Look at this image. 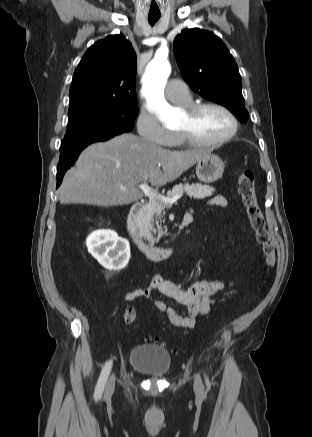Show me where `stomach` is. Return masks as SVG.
<instances>
[{"mask_svg":"<svg viewBox=\"0 0 312 437\" xmlns=\"http://www.w3.org/2000/svg\"><path fill=\"white\" fill-rule=\"evenodd\" d=\"M224 168L225 165L219 156L208 153L197 161L195 172L201 182L211 183L222 177Z\"/></svg>","mask_w":312,"mask_h":437,"instance_id":"obj_1","label":"stomach"}]
</instances>
